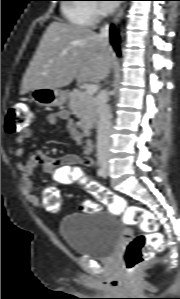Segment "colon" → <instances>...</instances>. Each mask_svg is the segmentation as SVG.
Instances as JSON below:
<instances>
[{"label": "colon", "instance_id": "1", "mask_svg": "<svg viewBox=\"0 0 180 299\" xmlns=\"http://www.w3.org/2000/svg\"><path fill=\"white\" fill-rule=\"evenodd\" d=\"M34 114L31 108L22 103L12 105L7 112L5 130L14 134L26 128L33 120ZM72 179L70 180V182ZM84 188L103 205L107 206L115 214L122 215L127 225L137 226L141 233L135 235L129 241L123 254V262L127 269H133L155 252L164 249V238L158 232V221L155 215L145 208L135 205H128L126 200L95 181H84ZM44 209L50 213H56L61 207L60 193L53 186L47 187L42 196ZM83 212L98 211L99 205L92 200H84L80 204Z\"/></svg>", "mask_w": 180, "mask_h": 299}]
</instances>
